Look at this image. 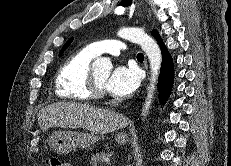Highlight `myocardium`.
Masks as SVG:
<instances>
[{"instance_id":"f54148a6","label":"myocardium","mask_w":231,"mask_h":166,"mask_svg":"<svg viewBox=\"0 0 231 166\" xmlns=\"http://www.w3.org/2000/svg\"><path fill=\"white\" fill-rule=\"evenodd\" d=\"M89 91L90 97L94 99L103 98L106 95L104 86L96 79L93 69H91L89 75Z\"/></svg>"}]
</instances>
